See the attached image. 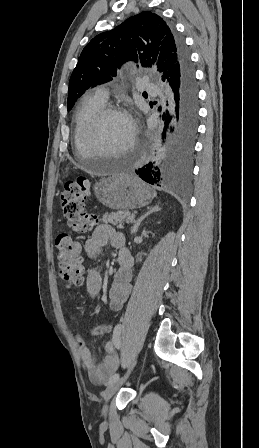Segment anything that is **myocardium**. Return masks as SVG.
Instances as JSON below:
<instances>
[{"label":"myocardium","instance_id":"f54148a6","mask_svg":"<svg viewBox=\"0 0 259 448\" xmlns=\"http://www.w3.org/2000/svg\"><path fill=\"white\" fill-rule=\"evenodd\" d=\"M124 116L126 117L125 112L122 107L118 105H105L89 122L85 129L84 133V142L87 148L89 149H98V150H108L100 139V131L104 121L110 116ZM136 145V133L133 131V139L130 144L129 149L133 148ZM76 156L78 157V163H84L82 151H79ZM90 171H100V170H90Z\"/></svg>","mask_w":259,"mask_h":448}]
</instances>
